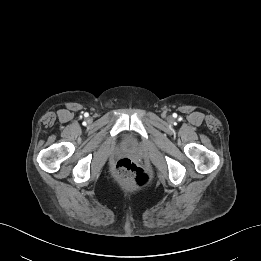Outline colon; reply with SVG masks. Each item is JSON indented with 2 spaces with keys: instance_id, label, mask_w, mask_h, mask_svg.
<instances>
[{
  "instance_id": "5ec220e1",
  "label": "colon",
  "mask_w": 261,
  "mask_h": 261,
  "mask_svg": "<svg viewBox=\"0 0 261 261\" xmlns=\"http://www.w3.org/2000/svg\"><path fill=\"white\" fill-rule=\"evenodd\" d=\"M114 175L118 182L126 186H139L147 180L143 169L129 158H122L117 161Z\"/></svg>"
}]
</instances>
